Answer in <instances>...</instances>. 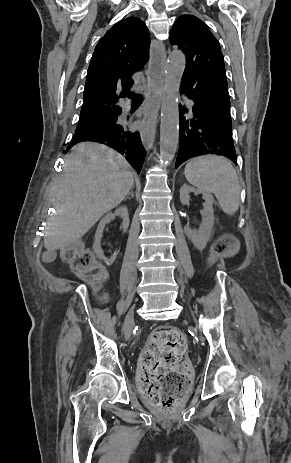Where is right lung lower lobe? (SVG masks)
I'll return each mask as SVG.
<instances>
[{"label": "right lung lower lobe", "mask_w": 291, "mask_h": 463, "mask_svg": "<svg viewBox=\"0 0 291 463\" xmlns=\"http://www.w3.org/2000/svg\"><path fill=\"white\" fill-rule=\"evenodd\" d=\"M120 113L121 110L111 113L113 117L104 119L89 128L76 130L67 150L79 142H99L118 151L139 173L142 169L146 150L142 145L138 132H133L125 124L117 122V117Z\"/></svg>", "instance_id": "right-lung-lower-lobe-1"}]
</instances>
